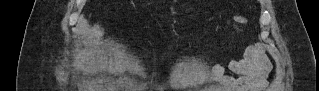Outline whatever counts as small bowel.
<instances>
[{
    "mask_svg": "<svg viewBox=\"0 0 319 91\" xmlns=\"http://www.w3.org/2000/svg\"><path fill=\"white\" fill-rule=\"evenodd\" d=\"M247 54L253 58L262 61V74L254 73L247 79H236L231 76L221 75L222 68L220 65H214L213 67L214 72L219 76L220 80L223 83L229 85V88L232 90L259 89L263 88L265 84V73L268 72L270 66L264 56L263 47L259 44L253 45L247 50ZM228 68L233 73L242 74L247 70V65L242 61L233 58L229 61ZM245 83L248 85H245Z\"/></svg>",
    "mask_w": 319,
    "mask_h": 91,
    "instance_id": "obj_1",
    "label": "small bowel"
}]
</instances>
